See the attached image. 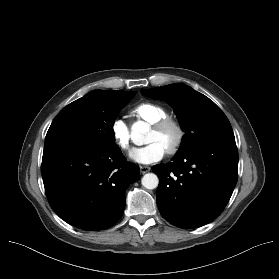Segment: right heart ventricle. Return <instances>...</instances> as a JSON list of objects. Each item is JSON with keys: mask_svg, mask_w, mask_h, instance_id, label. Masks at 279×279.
<instances>
[{"mask_svg": "<svg viewBox=\"0 0 279 279\" xmlns=\"http://www.w3.org/2000/svg\"><path fill=\"white\" fill-rule=\"evenodd\" d=\"M138 119L149 124L168 116L166 109L152 102H143L138 104L132 111Z\"/></svg>", "mask_w": 279, "mask_h": 279, "instance_id": "right-heart-ventricle-1", "label": "right heart ventricle"}]
</instances>
